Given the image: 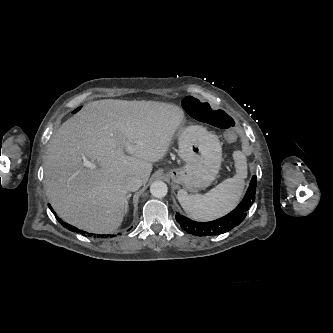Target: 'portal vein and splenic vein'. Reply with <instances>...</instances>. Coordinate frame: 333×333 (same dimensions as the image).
<instances>
[{
	"label": "portal vein and splenic vein",
	"mask_w": 333,
	"mask_h": 333,
	"mask_svg": "<svg viewBox=\"0 0 333 333\" xmlns=\"http://www.w3.org/2000/svg\"><path fill=\"white\" fill-rule=\"evenodd\" d=\"M85 166H87L89 168H95V164L91 163L90 161H85Z\"/></svg>",
	"instance_id": "18ae733b"
}]
</instances>
